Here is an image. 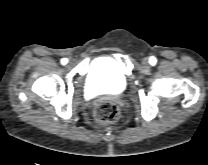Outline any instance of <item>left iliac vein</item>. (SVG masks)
<instances>
[{"mask_svg":"<svg viewBox=\"0 0 208 165\" xmlns=\"http://www.w3.org/2000/svg\"><path fill=\"white\" fill-rule=\"evenodd\" d=\"M142 64H143L145 67H148V66L150 65L149 59H148V58H144L143 61H142Z\"/></svg>","mask_w":208,"mask_h":165,"instance_id":"left-iliac-vein-1","label":"left iliac vein"}]
</instances>
